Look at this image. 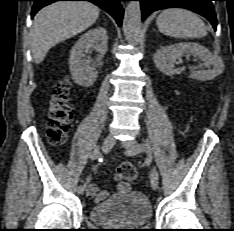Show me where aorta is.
I'll list each match as a JSON object with an SVG mask.
<instances>
[{"label": "aorta", "instance_id": "762f6f07", "mask_svg": "<svg viewBox=\"0 0 234 231\" xmlns=\"http://www.w3.org/2000/svg\"><path fill=\"white\" fill-rule=\"evenodd\" d=\"M123 32L131 45H136L141 33V8L140 3L131 1L127 5L123 19Z\"/></svg>", "mask_w": 234, "mask_h": 231}]
</instances>
